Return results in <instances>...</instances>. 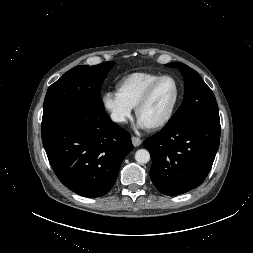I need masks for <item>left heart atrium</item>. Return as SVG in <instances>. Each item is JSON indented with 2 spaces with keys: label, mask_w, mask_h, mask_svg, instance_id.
<instances>
[{
  "label": "left heart atrium",
  "mask_w": 253,
  "mask_h": 253,
  "mask_svg": "<svg viewBox=\"0 0 253 253\" xmlns=\"http://www.w3.org/2000/svg\"><path fill=\"white\" fill-rule=\"evenodd\" d=\"M138 125H139L140 127H142V128L145 127V126H144L142 123H140V122H138Z\"/></svg>",
  "instance_id": "obj_1"
}]
</instances>
